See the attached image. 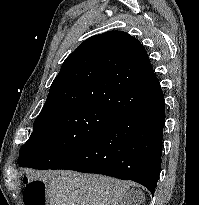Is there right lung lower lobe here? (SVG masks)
Instances as JSON below:
<instances>
[{
	"mask_svg": "<svg viewBox=\"0 0 199 205\" xmlns=\"http://www.w3.org/2000/svg\"><path fill=\"white\" fill-rule=\"evenodd\" d=\"M144 98L95 140L50 169L75 170L132 180L154 195L161 169L164 95L157 79L131 83Z\"/></svg>",
	"mask_w": 199,
	"mask_h": 205,
	"instance_id": "1",
	"label": "right lung lower lobe"
}]
</instances>
